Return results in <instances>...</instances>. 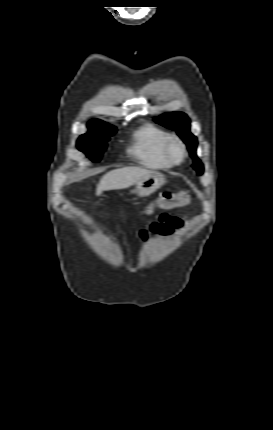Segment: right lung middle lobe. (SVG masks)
Segmentation results:
<instances>
[{"instance_id":"obj_1","label":"right lung middle lobe","mask_w":273,"mask_h":430,"mask_svg":"<svg viewBox=\"0 0 273 430\" xmlns=\"http://www.w3.org/2000/svg\"><path fill=\"white\" fill-rule=\"evenodd\" d=\"M88 128L89 131L79 137L77 145L79 150L86 153L93 162H98L107 147L110 136L116 133V128L108 127L105 129L90 125Z\"/></svg>"}]
</instances>
